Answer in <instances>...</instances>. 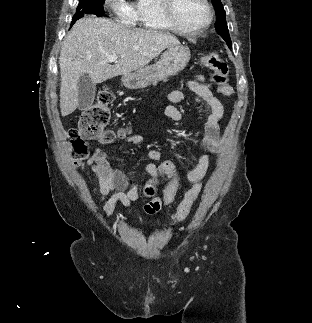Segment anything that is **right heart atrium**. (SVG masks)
I'll return each instance as SVG.
<instances>
[{"label": "right heart atrium", "mask_w": 312, "mask_h": 323, "mask_svg": "<svg viewBox=\"0 0 312 323\" xmlns=\"http://www.w3.org/2000/svg\"><path fill=\"white\" fill-rule=\"evenodd\" d=\"M103 5H108L110 13H120L121 17H138V10H131L124 0H103Z\"/></svg>", "instance_id": "obj_1"}]
</instances>
